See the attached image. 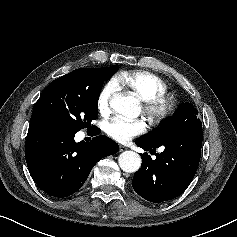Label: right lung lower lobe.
Returning a JSON list of instances; mask_svg holds the SVG:
<instances>
[{"instance_id":"obj_1","label":"right lung lower lobe","mask_w":237,"mask_h":237,"mask_svg":"<svg viewBox=\"0 0 237 237\" xmlns=\"http://www.w3.org/2000/svg\"><path fill=\"white\" fill-rule=\"evenodd\" d=\"M95 129L98 135L100 130ZM74 137L75 132L52 127L28 131L25 157L29 172L38 187L51 196L63 198L75 193L99 160L119 150L118 144L104 135L79 143Z\"/></svg>"}]
</instances>
